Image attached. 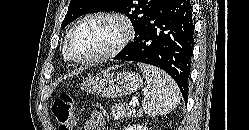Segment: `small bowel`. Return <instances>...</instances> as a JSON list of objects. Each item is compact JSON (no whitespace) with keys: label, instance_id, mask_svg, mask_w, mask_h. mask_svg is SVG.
<instances>
[{"label":"small bowel","instance_id":"small-bowel-1","mask_svg":"<svg viewBox=\"0 0 249 130\" xmlns=\"http://www.w3.org/2000/svg\"><path fill=\"white\" fill-rule=\"evenodd\" d=\"M105 128V118L98 110L92 111L90 117L84 123V130H105Z\"/></svg>","mask_w":249,"mask_h":130}]
</instances>
